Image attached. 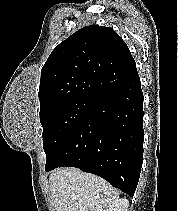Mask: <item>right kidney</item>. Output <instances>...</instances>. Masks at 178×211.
Masks as SVG:
<instances>
[{"label":"right kidney","mask_w":178,"mask_h":211,"mask_svg":"<svg viewBox=\"0 0 178 211\" xmlns=\"http://www.w3.org/2000/svg\"><path fill=\"white\" fill-rule=\"evenodd\" d=\"M129 201L126 198L117 199L107 206L104 211H128Z\"/></svg>","instance_id":"right-kidney-1"}]
</instances>
